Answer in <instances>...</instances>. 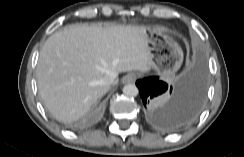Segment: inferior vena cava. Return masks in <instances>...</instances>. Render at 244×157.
Segmentation results:
<instances>
[{
	"label": "inferior vena cava",
	"instance_id": "1",
	"mask_svg": "<svg viewBox=\"0 0 244 157\" xmlns=\"http://www.w3.org/2000/svg\"><path fill=\"white\" fill-rule=\"evenodd\" d=\"M116 77L117 75L115 73H109L104 77L103 83L110 86L115 81Z\"/></svg>",
	"mask_w": 244,
	"mask_h": 157
}]
</instances>
